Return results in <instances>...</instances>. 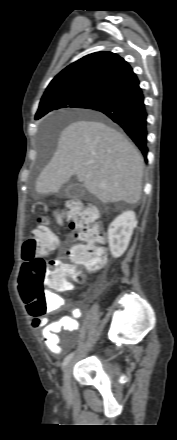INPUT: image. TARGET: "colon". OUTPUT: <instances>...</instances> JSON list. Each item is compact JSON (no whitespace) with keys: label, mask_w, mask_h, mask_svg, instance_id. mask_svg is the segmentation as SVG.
Listing matches in <instances>:
<instances>
[{"label":"colon","mask_w":177,"mask_h":440,"mask_svg":"<svg viewBox=\"0 0 177 440\" xmlns=\"http://www.w3.org/2000/svg\"><path fill=\"white\" fill-rule=\"evenodd\" d=\"M57 217L65 221L73 233L74 244L67 249L65 260H47L43 257L58 243L56 234L47 226L44 218L39 219L22 245L21 257L25 263L19 291L33 317L43 316L47 309L45 285L64 290L70 284V278L78 282L83 280L80 267L97 270L105 260V249L102 246L105 234L97 222L98 213L94 207H83L79 201H69L65 209L57 213Z\"/></svg>","instance_id":"colon-1"}]
</instances>
